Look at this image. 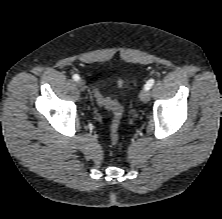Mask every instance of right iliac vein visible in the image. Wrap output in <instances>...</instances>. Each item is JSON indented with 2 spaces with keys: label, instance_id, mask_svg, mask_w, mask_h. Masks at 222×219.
<instances>
[{
  "label": "right iliac vein",
  "instance_id": "right-iliac-vein-1",
  "mask_svg": "<svg viewBox=\"0 0 222 219\" xmlns=\"http://www.w3.org/2000/svg\"><path fill=\"white\" fill-rule=\"evenodd\" d=\"M76 85H77V87L80 89V90H85V82L83 81V80H81V79H79L77 82H76Z\"/></svg>",
  "mask_w": 222,
  "mask_h": 219
}]
</instances>
